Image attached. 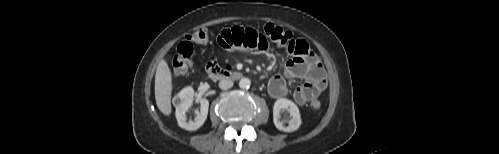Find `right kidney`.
Returning <instances> with one entry per match:
<instances>
[{"label": "right kidney", "mask_w": 499, "mask_h": 154, "mask_svg": "<svg viewBox=\"0 0 499 154\" xmlns=\"http://www.w3.org/2000/svg\"><path fill=\"white\" fill-rule=\"evenodd\" d=\"M194 99V90L188 86L182 89L174 98L176 102V118L178 125L186 130L194 131L200 128L207 119L209 101L205 98H199L198 102L201 105L200 112L197 114L195 121L187 122L185 113L192 106Z\"/></svg>", "instance_id": "1"}]
</instances>
